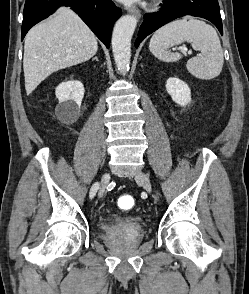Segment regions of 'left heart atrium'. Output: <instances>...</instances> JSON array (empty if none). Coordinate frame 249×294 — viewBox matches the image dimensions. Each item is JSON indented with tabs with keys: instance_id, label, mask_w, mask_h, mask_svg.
Here are the masks:
<instances>
[{
	"instance_id": "left-heart-atrium-1",
	"label": "left heart atrium",
	"mask_w": 249,
	"mask_h": 294,
	"mask_svg": "<svg viewBox=\"0 0 249 294\" xmlns=\"http://www.w3.org/2000/svg\"><path fill=\"white\" fill-rule=\"evenodd\" d=\"M118 1H121L123 3H132V2H138V1H141V0H118Z\"/></svg>"
}]
</instances>
